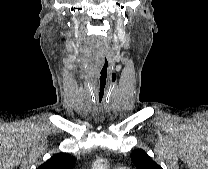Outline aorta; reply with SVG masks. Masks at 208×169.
I'll return each instance as SVG.
<instances>
[{"mask_svg":"<svg viewBox=\"0 0 208 169\" xmlns=\"http://www.w3.org/2000/svg\"><path fill=\"white\" fill-rule=\"evenodd\" d=\"M92 169H105L103 164H102V160L99 159L97 160L94 165H93V168Z\"/></svg>","mask_w":208,"mask_h":169,"instance_id":"aorta-1","label":"aorta"}]
</instances>
